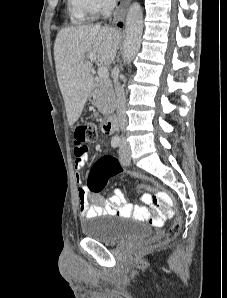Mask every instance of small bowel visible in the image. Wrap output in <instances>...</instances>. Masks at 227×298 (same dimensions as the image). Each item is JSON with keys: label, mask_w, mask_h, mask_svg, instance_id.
<instances>
[{"label": "small bowel", "mask_w": 227, "mask_h": 298, "mask_svg": "<svg viewBox=\"0 0 227 298\" xmlns=\"http://www.w3.org/2000/svg\"><path fill=\"white\" fill-rule=\"evenodd\" d=\"M92 147V142H75L73 146V157L75 158L76 182L78 183V205L79 215L82 219L93 218L100 215H118L122 217H138L141 219H150V209L153 208L154 194L150 190L143 194L141 201L146 206L133 205L126 203L124 193L121 189H114L113 195L107 200L98 194L91 192L88 187L82 185L81 170L85 166L88 158V151ZM143 181L149 179L142 178ZM143 189V188H142Z\"/></svg>", "instance_id": "1"}]
</instances>
